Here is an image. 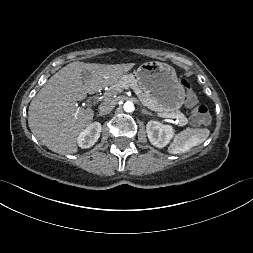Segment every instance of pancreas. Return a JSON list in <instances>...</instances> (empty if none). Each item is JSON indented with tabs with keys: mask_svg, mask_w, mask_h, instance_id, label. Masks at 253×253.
Instances as JSON below:
<instances>
[{
	"mask_svg": "<svg viewBox=\"0 0 253 253\" xmlns=\"http://www.w3.org/2000/svg\"><path fill=\"white\" fill-rule=\"evenodd\" d=\"M123 84L127 85L128 87H131L134 90L140 102L150 110L155 111L157 113L176 114L178 116L180 126H184L188 123V119L185 117L184 114L180 112L170 113L165 109H163L149 94L144 92L139 87L133 74L123 75L119 80H117L114 84H112L109 90V94L114 96L120 93L123 89L121 87Z\"/></svg>",
	"mask_w": 253,
	"mask_h": 253,
	"instance_id": "cf45deb5",
	"label": "pancreas"
}]
</instances>
